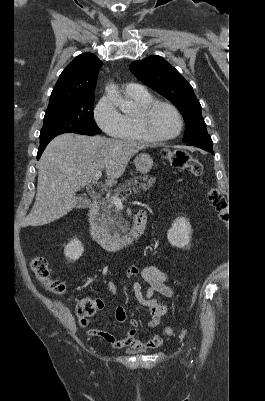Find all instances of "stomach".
<instances>
[{
  "mask_svg": "<svg viewBox=\"0 0 265 401\" xmlns=\"http://www.w3.org/2000/svg\"><path fill=\"white\" fill-rule=\"evenodd\" d=\"M135 166L137 170L140 172H149L153 166V158H151L150 154H146V152H140L137 154L136 158H134Z\"/></svg>",
  "mask_w": 265,
  "mask_h": 401,
  "instance_id": "1",
  "label": "stomach"
}]
</instances>
